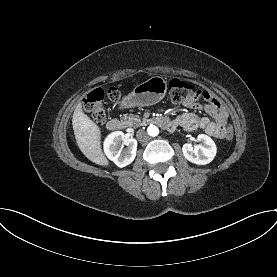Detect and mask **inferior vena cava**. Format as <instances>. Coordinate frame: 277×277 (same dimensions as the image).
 Returning <instances> with one entry per match:
<instances>
[{"mask_svg":"<svg viewBox=\"0 0 277 277\" xmlns=\"http://www.w3.org/2000/svg\"><path fill=\"white\" fill-rule=\"evenodd\" d=\"M136 136L140 142H147L149 140V135L144 130H138Z\"/></svg>","mask_w":277,"mask_h":277,"instance_id":"1","label":"inferior vena cava"}]
</instances>
